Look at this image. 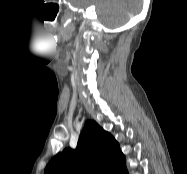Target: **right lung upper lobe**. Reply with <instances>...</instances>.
I'll return each instance as SVG.
<instances>
[{
  "label": "right lung upper lobe",
  "mask_w": 187,
  "mask_h": 174,
  "mask_svg": "<svg viewBox=\"0 0 187 174\" xmlns=\"http://www.w3.org/2000/svg\"><path fill=\"white\" fill-rule=\"evenodd\" d=\"M44 174H127V170L118 142L96 122L88 121L77 148L53 157Z\"/></svg>",
  "instance_id": "right-lung-upper-lobe-1"
}]
</instances>
